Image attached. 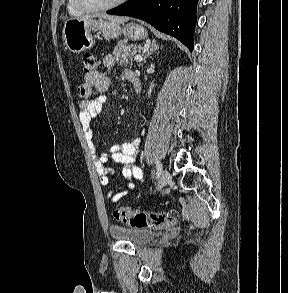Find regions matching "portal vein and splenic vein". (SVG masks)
<instances>
[{
  "label": "portal vein and splenic vein",
  "instance_id": "portal-vein-and-splenic-vein-1",
  "mask_svg": "<svg viewBox=\"0 0 288 293\" xmlns=\"http://www.w3.org/2000/svg\"><path fill=\"white\" fill-rule=\"evenodd\" d=\"M142 56L141 55H136L135 57H134V60L136 61V62H141L142 61Z\"/></svg>",
  "mask_w": 288,
  "mask_h": 293
}]
</instances>
